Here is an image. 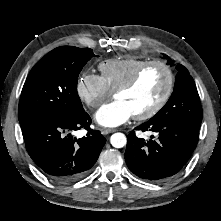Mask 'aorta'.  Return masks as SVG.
Returning a JSON list of instances; mask_svg holds the SVG:
<instances>
[{
	"instance_id": "obj_1",
	"label": "aorta",
	"mask_w": 221,
	"mask_h": 221,
	"mask_svg": "<svg viewBox=\"0 0 221 221\" xmlns=\"http://www.w3.org/2000/svg\"><path fill=\"white\" fill-rule=\"evenodd\" d=\"M127 139L123 133H115L110 138V143L115 148H122L126 145Z\"/></svg>"
}]
</instances>
